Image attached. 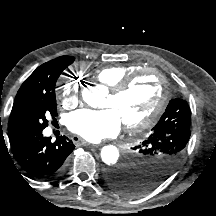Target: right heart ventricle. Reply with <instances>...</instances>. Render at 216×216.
Listing matches in <instances>:
<instances>
[{
  "label": "right heart ventricle",
  "instance_id": "right-heart-ventricle-1",
  "mask_svg": "<svg viewBox=\"0 0 216 216\" xmlns=\"http://www.w3.org/2000/svg\"><path fill=\"white\" fill-rule=\"evenodd\" d=\"M140 69L141 67L135 64L107 65L95 72V79L105 86L112 88L123 78Z\"/></svg>",
  "mask_w": 216,
  "mask_h": 216
}]
</instances>
